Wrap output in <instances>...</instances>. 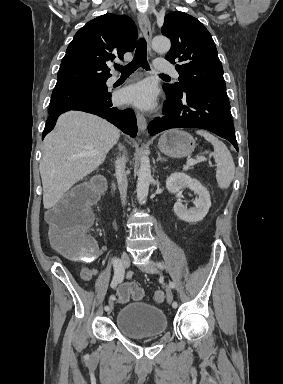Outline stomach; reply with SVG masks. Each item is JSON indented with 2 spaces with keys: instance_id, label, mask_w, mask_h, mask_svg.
Returning <instances> with one entry per match:
<instances>
[{
  "instance_id": "obj_1",
  "label": "stomach",
  "mask_w": 283,
  "mask_h": 384,
  "mask_svg": "<svg viewBox=\"0 0 283 384\" xmlns=\"http://www.w3.org/2000/svg\"><path fill=\"white\" fill-rule=\"evenodd\" d=\"M195 146L192 136L186 132H180V130H168L162 134L158 142L160 152L169 158H185L192 154Z\"/></svg>"
}]
</instances>
